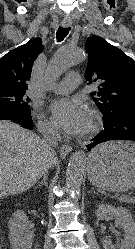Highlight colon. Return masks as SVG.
<instances>
[{
    "mask_svg": "<svg viewBox=\"0 0 135 249\" xmlns=\"http://www.w3.org/2000/svg\"><path fill=\"white\" fill-rule=\"evenodd\" d=\"M0 249H2V243H1V241H0Z\"/></svg>",
    "mask_w": 135,
    "mask_h": 249,
    "instance_id": "1",
    "label": "colon"
}]
</instances>
